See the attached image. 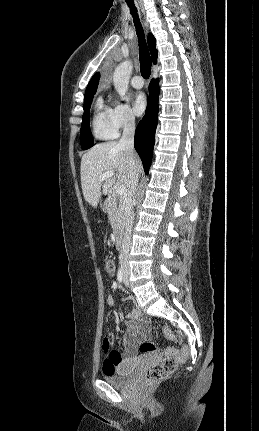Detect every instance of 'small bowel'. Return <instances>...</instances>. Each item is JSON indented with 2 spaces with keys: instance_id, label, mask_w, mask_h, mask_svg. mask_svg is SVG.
Instances as JSON below:
<instances>
[{
  "instance_id": "c3829d8e",
  "label": "small bowel",
  "mask_w": 259,
  "mask_h": 431,
  "mask_svg": "<svg viewBox=\"0 0 259 431\" xmlns=\"http://www.w3.org/2000/svg\"><path fill=\"white\" fill-rule=\"evenodd\" d=\"M107 305L113 307L115 304L114 298L109 295L106 298ZM127 333L123 338L124 352L118 350H111L105 354L106 357L103 362V371H113L123 363L131 362L137 357V347L143 342L149 332L148 322L142 318V313L139 309H133L125 316ZM105 341L109 340L107 338Z\"/></svg>"
}]
</instances>
